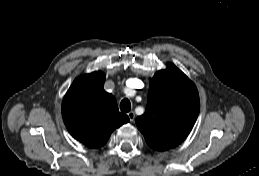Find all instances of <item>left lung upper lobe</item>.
Listing matches in <instances>:
<instances>
[{"label":"left lung upper lobe","mask_w":259,"mask_h":176,"mask_svg":"<svg viewBox=\"0 0 259 176\" xmlns=\"http://www.w3.org/2000/svg\"><path fill=\"white\" fill-rule=\"evenodd\" d=\"M200 109L196 86L174 64L150 79L145 114L136 125L147 144L158 151L174 148L190 133Z\"/></svg>","instance_id":"1"}]
</instances>
